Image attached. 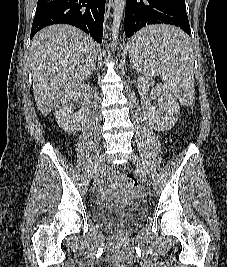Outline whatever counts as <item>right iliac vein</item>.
<instances>
[{
	"instance_id": "63e3f726",
	"label": "right iliac vein",
	"mask_w": 227,
	"mask_h": 267,
	"mask_svg": "<svg viewBox=\"0 0 227 267\" xmlns=\"http://www.w3.org/2000/svg\"><path fill=\"white\" fill-rule=\"evenodd\" d=\"M104 154H101L100 157L98 158L97 164L95 166V170H94V179L97 180L99 173L101 172V170L104 167Z\"/></svg>"
}]
</instances>
